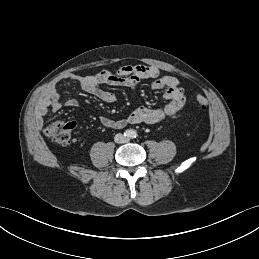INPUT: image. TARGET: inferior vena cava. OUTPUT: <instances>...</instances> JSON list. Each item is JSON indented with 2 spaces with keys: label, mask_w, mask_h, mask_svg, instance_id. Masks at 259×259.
<instances>
[{
  "label": "inferior vena cava",
  "mask_w": 259,
  "mask_h": 259,
  "mask_svg": "<svg viewBox=\"0 0 259 259\" xmlns=\"http://www.w3.org/2000/svg\"><path fill=\"white\" fill-rule=\"evenodd\" d=\"M115 141L117 143H126L128 141V139L126 137H124L122 134H117L115 136Z\"/></svg>",
  "instance_id": "obj_1"
}]
</instances>
